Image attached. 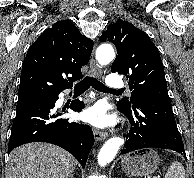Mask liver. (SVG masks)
Returning a JSON list of instances; mask_svg holds the SVG:
<instances>
[{
    "label": "liver",
    "mask_w": 194,
    "mask_h": 178,
    "mask_svg": "<svg viewBox=\"0 0 194 178\" xmlns=\"http://www.w3.org/2000/svg\"><path fill=\"white\" fill-rule=\"evenodd\" d=\"M76 165V159L58 146L28 143L10 153L6 178H68Z\"/></svg>",
    "instance_id": "6515ba94"
}]
</instances>
